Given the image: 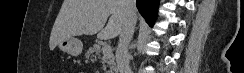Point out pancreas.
Instances as JSON below:
<instances>
[{
    "mask_svg": "<svg viewBox=\"0 0 244 73\" xmlns=\"http://www.w3.org/2000/svg\"><path fill=\"white\" fill-rule=\"evenodd\" d=\"M102 52V48L99 44H94L93 47H90L86 53H85V57L87 60H90L92 63H95L97 61V58H100ZM103 63L106 64L107 67H110V71H108V73H113L116 70V64H115V59H114V55L111 52L106 53L105 55L103 54ZM105 66V67H106Z\"/></svg>",
    "mask_w": 244,
    "mask_h": 73,
    "instance_id": "obj_1",
    "label": "pancreas"
}]
</instances>
